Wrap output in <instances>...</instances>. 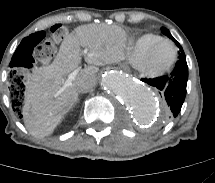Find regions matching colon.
Returning a JSON list of instances; mask_svg holds the SVG:
<instances>
[{
    "instance_id": "obj_1",
    "label": "colon",
    "mask_w": 215,
    "mask_h": 183,
    "mask_svg": "<svg viewBox=\"0 0 215 183\" xmlns=\"http://www.w3.org/2000/svg\"><path fill=\"white\" fill-rule=\"evenodd\" d=\"M51 35L55 40H63L67 36V29L63 24L57 23L51 27ZM56 47L49 40L40 41L33 49L29 52L26 60L21 63L26 68H31L36 62L47 63L55 55ZM9 89L11 97L14 100L22 102L25 91V78L19 71H12L9 76Z\"/></svg>"
}]
</instances>
